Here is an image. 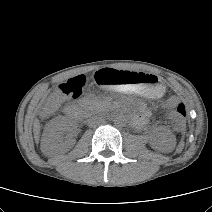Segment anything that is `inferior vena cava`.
I'll use <instances>...</instances> for the list:
<instances>
[{
  "label": "inferior vena cava",
  "instance_id": "obj_1",
  "mask_svg": "<svg viewBox=\"0 0 212 212\" xmlns=\"http://www.w3.org/2000/svg\"><path fill=\"white\" fill-rule=\"evenodd\" d=\"M101 122H102V118H100V117H91V118H89L87 120V125L89 127H93V126H95L97 124H100Z\"/></svg>",
  "mask_w": 212,
  "mask_h": 212
}]
</instances>
